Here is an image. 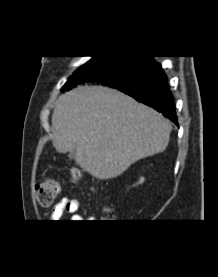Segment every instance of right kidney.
<instances>
[{"label": "right kidney", "instance_id": "obj_1", "mask_svg": "<svg viewBox=\"0 0 218 277\" xmlns=\"http://www.w3.org/2000/svg\"><path fill=\"white\" fill-rule=\"evenodd\" d=\"M143 181H144V178H140L138 183L141 184Z\"/></svg>", "mask_w": 218, "mask_h": 277}]
</instances>
